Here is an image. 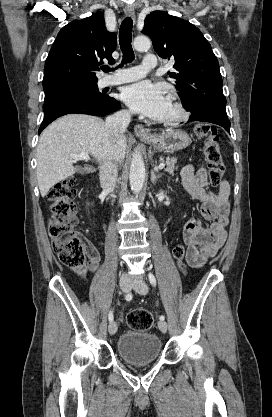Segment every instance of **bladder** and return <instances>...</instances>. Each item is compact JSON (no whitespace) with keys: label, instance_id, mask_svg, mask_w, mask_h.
I'll return each instance as SVG.
<instances>
[{"label":"bladder","instance_id":"1","mask_svg":"<svg viewBox=\"0 0 272 417\" xmlns=\"http://www.w3.org/2000/svg\"><path fill=\"white\" fill-rule=\"evenodd\" d=\"M162 350L161 340L153 333L126 331L117 341V352L126 362L135 365L156 361Z\"/></svg>","mask_w":272,"mask_h":417}]
</instances>
